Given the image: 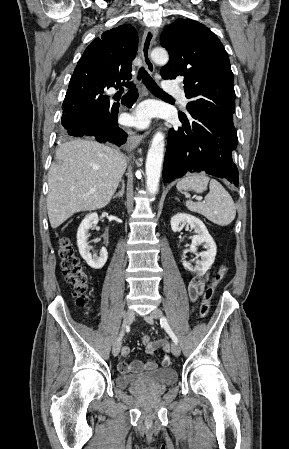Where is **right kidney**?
<instances>
[{
    "instance_id": "ca27d5eb",
    "label": "right kidney",
    "mask_w": 289,
    "mask_h": 449,
    "mask_svg": "<svg viewBox=\"0 0 289 449\" xmlns=\"http://www.w3.org/2000/svg\"><path fill=\"white\" fill-rule=\"evenodd\" d=\"M98 223L97 213H91L87 215L79 225L77 231V246L81 257L86 263L93 269H101L108 258V252L106 248L102 247L99 256L97 254H91V247L88 243V230L96 226Z\"/></svg>"
}]
</instances>
